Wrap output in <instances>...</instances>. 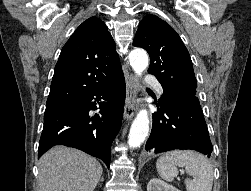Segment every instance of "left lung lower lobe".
<instances>
[{
  "label": "left lung lower lobe",
  "instance_id": "0a47b994",
  "mask_svg": "<svg viewBox=\"0 0 251 191\" xmlns=\"http://www.w3.org/2000/svg\"><path fill=\"white\" fill-rule=\"evenodd\" d=\"M158 112L145 149L161 153L175 149H191L210 157L212 144L202 108L196 96L173 97L154 102Z\"/></svg>",
  "mask_w": 251,
  "mask_h": 191
}]
</instances>
